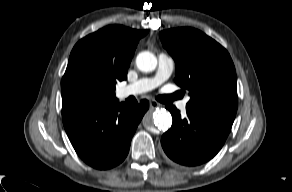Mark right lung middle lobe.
<instances>
[{"instance_id":"1","label":"right lung middle lobe","mask_w":292,"mask_h":192,"mask_svg":"<svg viewBox=\"0 0 292 192\" xmlns=\"http://www.w3.org/2000/svg\"><path fill=\"white\" fill-rule=\"evenodd\" d=\"M63 106H98L109 86L84 69H75L63 76Z\"/></svg>"}]
</instances>
